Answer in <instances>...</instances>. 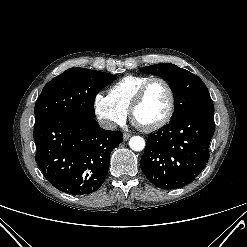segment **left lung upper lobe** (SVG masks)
Listing matches in <instances>:
<instances>
[{
	"mask_svg": "<svg viewBox=\"0 0 247 247\" xmlns=\"http://www.w3.org/2000/svg\"><path fill=\"white\" fill-rule=\"evenodd\" d=\"M141 71L158 75L169 84L175 100L172 121L190 113L214 115L209 91L198 76L171 63L142 67Z\"/></svg>",
	"mask_w": 247,
	"mask_h": 247,
	"instance_id": "left-lung-upper-lobe-1",
	"label": "left lung upper lobe"
}]
</instances>
